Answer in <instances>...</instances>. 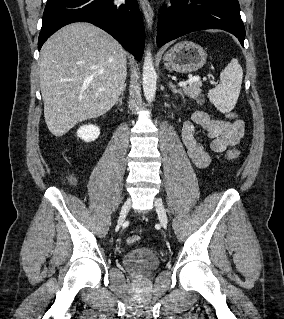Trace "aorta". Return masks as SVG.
Returning <instances> with one entry per match:
<instances>
[{"instance_id":"obj_1","label":"aorta","mask_w":284,"mask_h":319,"mask_svg":"<svg viewBox=\"0 0 284 319\" xmlns=\"http://www.w3.org/2000/svg\"><path fill=\"white\" fill-rule=\"evenodd\" d=\"M157 74L154 68L152 53L147 49L143 64V91L148 103L155 99Z\"/></svg>"}]
</instances>
